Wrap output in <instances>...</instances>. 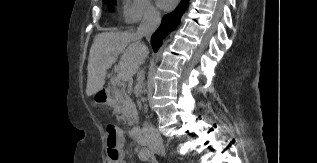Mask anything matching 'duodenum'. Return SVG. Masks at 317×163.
Listing matches in <instances>:
<instances>
[{
	"label": "duodenum",
	"instance_id": "duodenum-1",
	"mask_svg": "<svg viewBox=\"0 0 317 163\" xmlns=\"http://www.w3.org/2000/svg\"><path fill=\"white\" fill-rule=\"evenodd\" d=\"M105 93V91H102ZM131 136L132 138L142 147L146 148V140L142 129L138 126H133L131 128Z\"/></svg>",
	"mask_w": 317,
	"mask_h": 163
}]
</instances>
